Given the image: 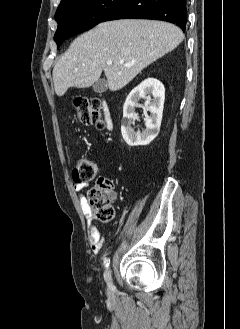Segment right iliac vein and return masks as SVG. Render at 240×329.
Instances as JSON below:
<instances>
[{
    "mask_svg": "<svg viewBox=\"0 0 240 329\" xmlns=\"http://www.w3.org/2000/svg\"><path fill=\"white\" fill-rule=\"evenodd\" d=\"M104 278L105 281L107 283V287L109 290H113V282H112V276H111V271L110 269L106 270V272L104 273Z\"/></svg>",
    "mask_w": 240,
    "mask_h": 329,
    "instance_id": "right-iliac-vein-1",
    "label": "right iliac vein"
}]
</instances>
